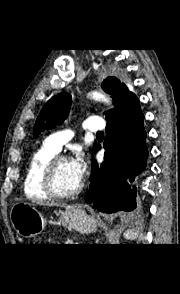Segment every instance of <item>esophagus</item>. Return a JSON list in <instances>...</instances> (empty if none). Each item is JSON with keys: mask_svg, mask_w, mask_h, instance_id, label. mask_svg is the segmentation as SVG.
I'll return each instance as SVG.
<instances>
[{"mask_svg": "<svg viewBox=\"0 0 180 294\" xmlns=\"http://www.w3.org/2000/svg\"><path fill=\"white\" fill-rule=\"evenodd\" d=\"M76 210L81 211L82 210L81 206L76 207Z\"/></svg>", "mask_w": 180, "mask_h": 294, "instance_id": "1", "label": "esophagus"}]
</instances>
